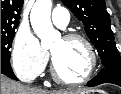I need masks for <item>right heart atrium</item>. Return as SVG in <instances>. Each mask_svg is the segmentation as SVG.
I'll list each match as a JSON object with an SVG mask.
<instances>
[{
	"label": "right heart atrium",
	"mask_w": 121,
	"mask_h": 94,
	"mask_svg": "<svg viewBox=\"0 0 121 94\" xmlns=\"http://www.w3.org/2000/svg\"><path fill=\"white\" fill-rule=\"evenodd\" d=\"M48 58V52L41 46L34 34L22 31L16 35L11 52V62L18 77L30 80L40 75Z\"/></svg>",
	"instance_id": "d8ad5b80"
}]
</instances>
